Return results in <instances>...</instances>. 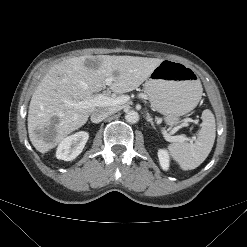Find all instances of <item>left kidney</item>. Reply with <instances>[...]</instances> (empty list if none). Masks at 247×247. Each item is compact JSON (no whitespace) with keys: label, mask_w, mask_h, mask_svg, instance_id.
<instances>
[{"label":"left kidney","mask_w":247,"mask_h":247,"mask_svg":"<svg viewBox=\"0 0 247 247\" xmlns=\"http://www.w3.org/2000/svg\"><path fill=\"white\" fill-rule=\"evenodd\" d=\"M158 158L162 169L168 170L170 166V158L168 152L164 149L158 150Z\"/></svg>","instance_id":"obj_1"}]
</instances>
